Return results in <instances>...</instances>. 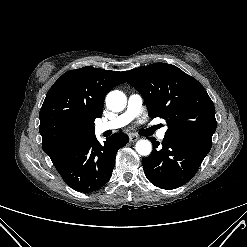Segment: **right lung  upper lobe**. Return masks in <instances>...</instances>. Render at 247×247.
<instances>
[{
	"label": "right lung upper lobe",
	"instance_id": "obj_1",
	"mask_svg": "<svg viewBox=\"0 0 247 247\" xmlns=\"http://www.w3.org/2000/svg\"><path fill=\"white\" fill-rule=\"evenodd\" d=\"M122 83L118 71L86 66L64 73L53 84L39 114L42 148L52 162L75 142L94 135L106 94Z\"/></svg>",
	"mask_w": 247,
	"mask_h": 247
}]
</instances>
